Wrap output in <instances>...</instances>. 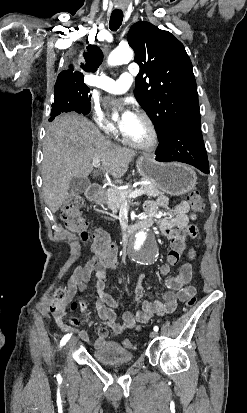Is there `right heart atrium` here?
Segmentation results:
<instances>
[{
	"label": "right heart atrium",
	"mask_w": 247,
	"mask_h": 413,
	"mask_svg": "<svg viewBox=\"0 0 247 413\" xmlns=\"http://www.w3.org/2000/svg\"><path fill=\"white\" fill-rule=\"evenodd\" d=\"M90 112L91 114H102L103 107L102 105H91ZM98 125L104 134H114L116 132L115 127L106 121L104 116L100 117Z\"/></svg>",
	"instance_id": "d8ad5b80"
}]
</instances>
